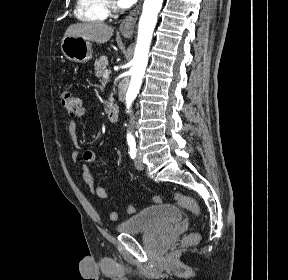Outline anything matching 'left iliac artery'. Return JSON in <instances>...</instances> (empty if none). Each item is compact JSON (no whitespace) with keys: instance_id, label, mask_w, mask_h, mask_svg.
Masks as SVG:
<instances>
[{"instance_id":"1","label":"left iliac artery","mask_w":288,"mask_h":280,"mask_svg":"<svg viewBox=\"0 0 288 280\" xmlns=\"http://www.w3.org/2000/svg\"><path fill=\"white\" fill-rule=\"evenodd\" d=\"M128 145H129V155L132 159H134L136 157V143L134 141H129L128 142Z\"/></svg>"}]
</instances>
